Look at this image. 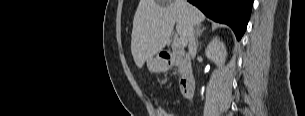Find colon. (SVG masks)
<instances>
[{
	"mask_svg": "<svg viewBox=\"0 0 305 116\" xmlns=\"http://www.w3.org/2000/svg\"><path fill=\"white\" fill-rule=\"evenodd\" d=\"M150 103L154 116H173L172 113L165 109L155 97H150Z\"/></svg>",
	"mask_w": 305,
	"mask_h": 116,
	"instance_id": "obj_1",
	"label": "colon"
}]
</instances>
